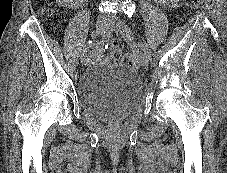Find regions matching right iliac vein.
<instances>
[{
    "label": "right iliac vein",
    "instance_id": "right-iliac-vein-1",
    "mask_svg": "<svg viewBox=\"0 0 227 173\" xmlns=\"http://www.w3.org/2000/svg\"><path fill=\"white\" fill-rule=\"evenodd\" d=\"M107 28H108V18L105 17V16H103V15H100L98 17V19H97L95 35L96 36L102 35L106 31ZM95 50L96 49L94 47V49L92 50V52L95 51ZM91 56H92V54L91 55H85L81 59L82 63L84 65H87L89 63V61H90V57Z\"/></svg>",
    "mask_w": 227,
    "mask_h": 173
}]
</instances>
